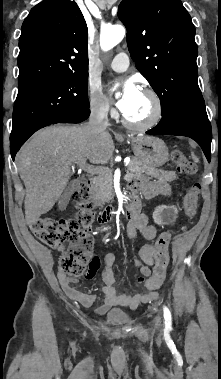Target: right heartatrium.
Listing matches in <instances>:
<instances>
[{
    "label": "right heart atrium",
    "mask_w": 221,
    "mask_h": 379,
    "mask_svg": "<svg viewBox=\"0 0 221 379\" xmlns=\"http://www.w3.org/2000/svg\"><path fill=\"white\" fill-rule=\"evenodd\" d=\"M88 103L90 111L96 116L107 118L114 112L100 88L95 85L88 87Z\"/></svg>",
    "instance_id": "1"
}]
</instances>
